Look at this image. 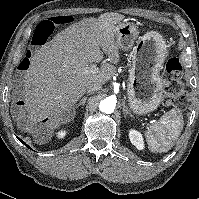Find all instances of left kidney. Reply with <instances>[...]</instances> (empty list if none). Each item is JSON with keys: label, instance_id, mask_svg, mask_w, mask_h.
Returning a JSON list of instances; mask_svg holds the SVG:
<instances>
[{"label": "left kidney", "instance_id": "obj_1", "mask_svg": "<svg viewBox=\"0 0 199 199\" xmlns=\"http://www.w3.org/2000/svg\"><path fill=\"white\" fill-rule=\"evenodd\" d=\"M129 138L131 143L138 149V150H143L145 147L144 144V139L142 134L135 130V129H130L129 130Z\"/></svg>", "mask_w": 199, "mask_h": 199}]
</instances>
